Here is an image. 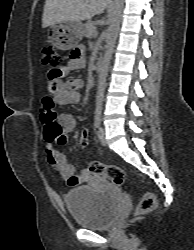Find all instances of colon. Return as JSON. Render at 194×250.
Here are the masks:
<instances>
[{
  "mask_svg": "<svg viewBox=\"0 0 194 250\" xmlns=\"http://www.w3.org/2000/svg\"><path fill=\"white\" fill-rule=\"evenodd\" d=\"M80 55L79 49H74L72 51L71 57H78ZM41 62L43 65L51 67L52 77L61 76L60 71V56L53 46L47 45L42 48ZM44 108L51 109L53 106L52 100L49 96L43 99ZM80 145L82 147H87L88 142L85 139H80ZM89 171L93 174L100 175L111 181L116 185H123L126 180V174L124 170L115 165H104L98 161H92L89 165ZM156 207L155 195L150 191H144L140 199L137 214L146 215L151 213Z\"/></svg>",
  "mask_w": 194,
  "mask_h": 250,
  "instance_id": "1",
  "label": "colon"
}]
</instances>
